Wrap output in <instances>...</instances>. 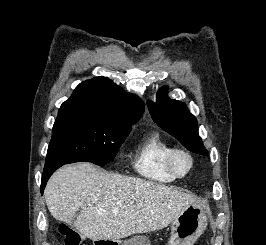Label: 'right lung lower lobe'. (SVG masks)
Listing matches in <instances>:
<instances>
[{
	"label": "right lung lower lobe",
	"mask_w": 266,
	"mask_h": 245,
	"mask_svg": "<svg viewBox=\"0 0 266 245\" xmlns=\"http://www.w3.org/2000/svg\"><path fill=\"white\" fill-rule=\"evenodd\" d=\"M60 166H62L61 164L56 165V166H52V167H48V168H44V172H43V176H42V181H41V194H43L44 188L46 186V183L48 181V179L50 178V176L53 174V172L55 170H57Z\"/></svg>",
	"instance_id": "98d812e1"
}]
</instances>
